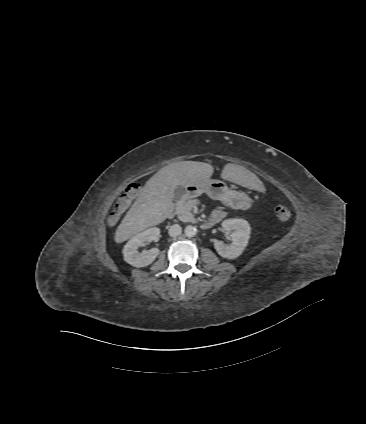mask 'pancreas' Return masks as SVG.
I'll list each match as a JSON object with an SVG mask.
<instances>
[{
	"mask_svg": "<svg viewBox=\"0 0 366 424\" xmlns=\"http://www.w3.org/2000/svg\"><path fill=\"white\" fill-rule=\"evenodd\" d=\"M195 200H183L177 205V214L178 218L183 222L196 223V219L191 212L192 208L195 206Z\"/></svg>",
	"mask_w": 366,
	"mask_h": 424,
	"instance_id": "1",
	"label": "pancreas"
}]
</instances>
